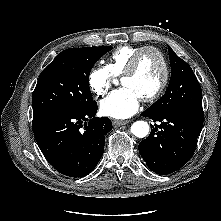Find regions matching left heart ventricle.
I'll use <instances>...</instances> for the list:
<instances>
[{
  "mask_svg": "<svg viewBox=\"0 0 221 221\" xmlns=\"http://www.w3.org/2000/svg\"><path fill=\"white\" fill-rule=\"evenodd\" d=\"M163 76V66L160 57L155 52L142 55L136 72L121 79L123 86H128L142 99L158 87Z\"/></svg>",
  "mask_w": 221,
  "mask_h": 221,
  "instance_id": "left-heart-ventricle-1",
  "label": "left heart ventricle"
}]
</instances>
